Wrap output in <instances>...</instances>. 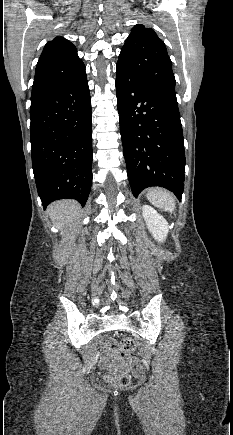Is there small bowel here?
Listing matches in <instances>:
<instances>
[{
  "label": "small bowel",
  "mask_w": 233,
  "mask_h": 435,
  "mask_svg": "<svg viewBox=\"0 0 233 435\" xmlns=\"http://www.w3.org/2000/svg\"><path fill=\"white\" fill-rule=\"evenodd\" d=\"M101 352L104 356V358L100 361L99 363V369L101 371H107L108 369L113 368L112 366V359L111 357V353H112V349L108 344H104L101 348ZM119 368L121 369H138V360L134 357L130 358L128 360L127 363H120L118 365Z\"/></svg>",
  "instance_id": "small-bowel-1"
}]
</instances>
